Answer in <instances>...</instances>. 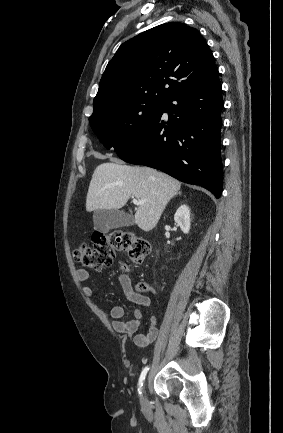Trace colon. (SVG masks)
Here are the masks:
<instances>
[{
    "label": "colon",
    "instance_id": "obj_1",
    "mask_svg": "<svg viewBox=\"0 0 283 433\" xmlns=\"http://www.w3.org/2000/svg\"><path fill=\"white\" fill-rule=\"evenodd\" d=\"M150 250L148 240L131 231L117 229L108 234L96 235L92 246L82 244L73 254L84 268L99 271L112 264L117 252H124L133 263H140ZM139 289L144 291L147 285L140 284Z\"/></svg>",
    "mask_w": 283,
    "mask_h": 433
}]
</instances>
